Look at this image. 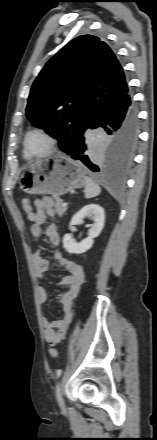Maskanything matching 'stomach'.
<instances>
[{
    "mask_svg": "<svg viewBox=\"0 0 157 440\" xmlns=\"http://www.w3.org/2000/svg\"><path fill=\"white\" fill-rule=\"evenodd\" d=\"M19 184L28 194L59 197L85 185V169L66 155H53L31 163L21 175Z\"/></svg>",
    "mask_w": 157,
    "mask_h": 440,
    "instance_id": "stomach-1",
    "label": "stomach"
}]
</instances>
